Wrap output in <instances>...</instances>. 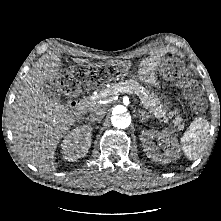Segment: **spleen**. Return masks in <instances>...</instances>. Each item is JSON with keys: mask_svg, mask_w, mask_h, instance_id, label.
<instances>
[{"mask_svg": "<svg viewBox=\"0 0 221 221\" xmlns=\"http://www.w3.org/2000/svg\"><path fill=\"white\" fill-rule=\"evenodd\" d=\"M209 122L204 118L195 119L181 138L182 150L190 159H196L204 150L209 138Z\"/></svg>", "mask_w": 221, "mask_h": 221, "instance_id": "1", "label": "spleen"}]
</instances>
